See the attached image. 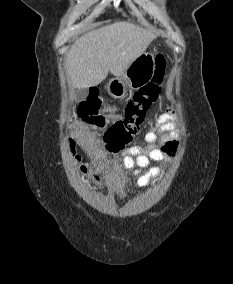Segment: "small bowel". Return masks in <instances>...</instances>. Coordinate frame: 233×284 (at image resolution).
Wrapping results in <instances>:
<instances>
[{
    "mask_svg": "<svg viewBox=\"0 0 233 284\" xmlns=\"http://www.w3.org/2000/svg\"><path fill=\"white\" fill-rule=\"evenodd\" d=\"M174 109L169 106L156 119L154 125L145 133V145H136L121 154L120 159L109 160L104 164L102 175L93 174L95 183H105L113 190H119L127 180V171L137 178L139 186H146L153 178L160 176L162 168L151 166V161H163L173 157L178 148L172 137ZM77 137L80 141L90 138L87 129L79 125Z\"/></svg>",
    "mask_w": 233,
    "mask_h": 284,
    "instance_id": "1",
    "label": "small bowel"
}]
</instances>
